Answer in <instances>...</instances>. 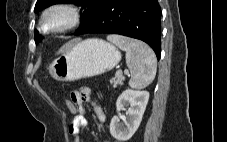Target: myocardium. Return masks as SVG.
<instances>
[{"label": "myocardium", "instance_id": "obj_1", "mask_svg": "<svg viewBox=\"0 0 227 142\" xmlns=\"http://www.w3.org/2000/svg\"><path fill=\"white\" fill-rule=\"evenodd\" d=\"M55 15H61L63 22L58 26L50 27L49 21ZM80 21L81 10L76 4L68 2L55 3L42 11L37 29L44 35H56L72 30Z\"/></svg>", "mask_w": 227, "mask_h": 142}]
</instances>
